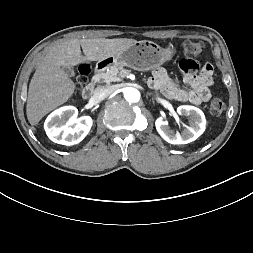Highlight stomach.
Segmentation results:
<instances>
[{
	"label": "stomach",
	"instance_id": "0dacf381",
	"mask_svg": "<svg viewBox=\"0 0 253 253\" xmlns=\"http://www.w3.org/2000/svg\"><path fill=\"white\" fill-rule=\"evenodd\" d=\"M175 49L172 46L161 48L152 41H138L126 50L100 60L103 70L111 66H127L138 71H148L172 59Z\"/></svg>",
	"mask_w": 253,
	"mask_h": 253
}]
</instances>
